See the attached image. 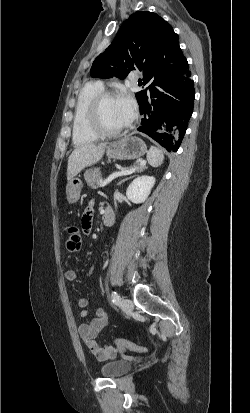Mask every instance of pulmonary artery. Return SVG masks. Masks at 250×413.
<instances>
[{"label": "pulmonary artery", "mask_w": 250, "mask_h": 413, "mask_svg": "<svg viewBox=\"0 0 250 413\" xmlns=\"http://www.w3.org/2000/svg\"><path fill=\"white\" fill-rule=\"evenodd\" d=\"M137 77L142 78V75H138ZM97 83L102 86V83H101V82H97Z\"/></svg>", "instance_id": "e3ab8cb5"}]
</instances>
